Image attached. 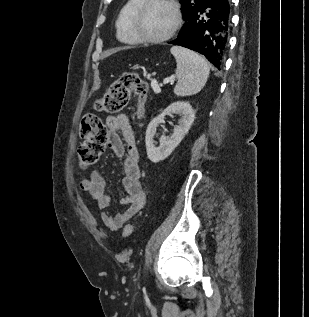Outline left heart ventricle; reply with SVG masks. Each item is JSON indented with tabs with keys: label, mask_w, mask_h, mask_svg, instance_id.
Here are the masks:
<instances>
[{
	"label": "left heart ventricle",
	"mask_w": 309,
	"mask_h": 317,
	"mask_svg": "<svg viewBox=\"0 0 309 317\" xmlns=\"http://www.w3.org/2000/svg\"><path fill=\"white\" fill-rule=\"evenodd\" d=\"M175 15L172 8L165 3H153L143 12L138 28L149 37L166 34L173 26Z\"/></svg>",
	"instance_id": "b2bd125f"
}]
</instances>
